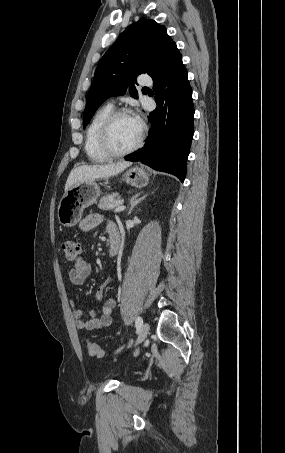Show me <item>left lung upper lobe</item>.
I'll list each match as a JSON object with an SVG mask.
<instances>
[{"instance_id": "1", "label": "left lung upper lobe", "mask_w": 285, "mask_h": 453, "mask_svg": "<svg viewBox=\"0 0 285 453\" xmlns=\"http://www.w3.org/2000/svg\"><path fill=\"white\" fill-rule=\"evenodd\" d=\"M175 45L166 28L151 19L141 18L121 33L98 63L86 99L83 127L107 98L123 94L139 74H156ZM130 93L137 98L133 83Z\"/></svg>"}]
</instances>
